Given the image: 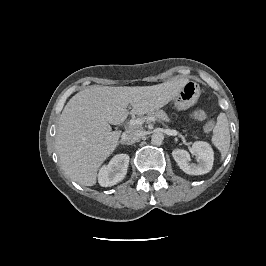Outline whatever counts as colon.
<instances>
[{
  "label": "colon",
  "mask_w": 266,
  "mask_h": 266,
  "mask_svg": "<svg viewBox=\"0 0 266 266\" xmlns=\"http://www.w3.org/2000/svg\"><path fill=\"white\" fill-rule=\"evenodd\" d=\"M192 117L196 120H205L206 119V113L203 110H197L192 114ZM213 127V122L212 121H207L205 123V130L210 131Z\"/></svg>",
  "instance_id": "obj_1"
}]
</instances>
